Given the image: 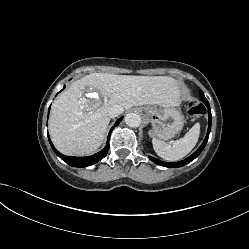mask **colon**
Wrapping results in <instances>:
<instances>
[{
  "label": "colon",
  "instance_id": "5ec220e1",
  "mask_svg": "<svg viewBox=\"0 0 249 249\" xmlns=\"http://www.w3.org/2000/svg\"><path fill=\"white\" fill-rule=\"evenodd\" d=\"M185 110L192 119L200 117L205 112L204 106L194 101L188 102Z\"/></svg>",
  "mask_w": 249,
  "mask_h": 249
}]
</instances>
